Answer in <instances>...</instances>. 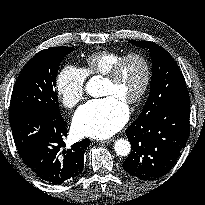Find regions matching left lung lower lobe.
Listing matches in <instances>:
<instances>
[{"instance_id":"1","label":"left lung lower lobe","mask_w":205,"mask_h":205,"mask_svg":"<svg viewBox=\"0 0 205 205\" xmlns=\"http://www.w3.org/2000/svg\"><path fill=\"white\" fill-rule=\"evenodd\" d=\"M190 100H177L144 121L133 122L125 131L132 151L123 163L129 174L155 180L176 163L189 137Z\"/></svg>"}]
</instances>
